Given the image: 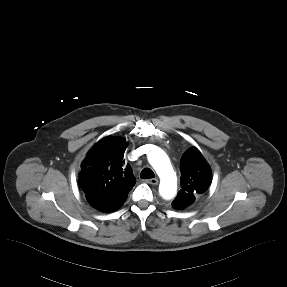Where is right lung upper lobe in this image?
<instances>
[{
    "instance_id": "obj_1",
    "label": "right lung upper lobe",
    "mask_w": 287,
    "mask_h": 287,
    "mask_svg": "<svg viewBox=\"0 0 287 287\" xmlns=\"http://www.w3.org/2000/svg\"><path fill=\"white\" fill-rule=\"evenodd\" d=\"M126 146L124 139L108 136L88 152L78 179L86 198L112 199L129 193L136 179L123 159Z\"/></svg>"
}]
</instances>
